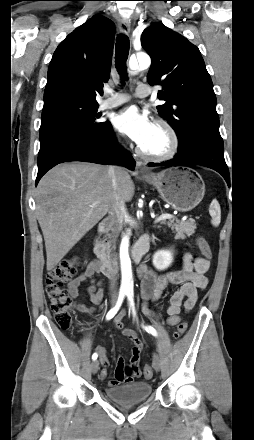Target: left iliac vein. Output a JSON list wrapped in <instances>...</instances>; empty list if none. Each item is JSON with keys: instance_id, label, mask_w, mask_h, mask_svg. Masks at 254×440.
Returning <instances> with one entry per match:
<instances>
[{"instance_id": "obj_1", "label": "left iliac vein", "mask_w": 254, "mask_h": 440, "mask_svg": "<svg viewBox=\"0 0 254 440\" xmlns=\"http://www.w3.org/2000/svg\"><path fill=\"white\" fill-rule=\"evenodd\" d=\"M152 365H153V368L156 371H160V369H161V358H160V356L158 354H154L153 355Z\"/></svg>"}]
</instances>
